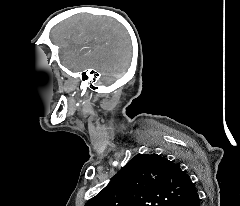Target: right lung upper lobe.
Here are the masks:
<instances>
[{"label":"right lung upper lobe","instance_id":"1","mask_svg":"<svg viewBox=\"0 0 240 206\" xmlns=\"http://www.w3.org/2000/svg\"><path fill=\"white\" fill-rule=\"evenodd\" d=\"M195 192L177 164L157 154H137L85 206H172Z\"/></svg>","mask_w":240,"mask_h":206}]
</instances>
